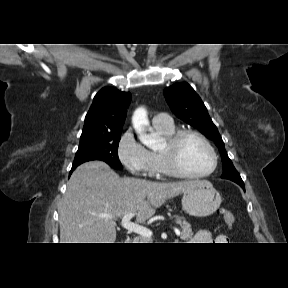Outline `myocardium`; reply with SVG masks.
Here are the masks:
<instances>
[{
	"instance_id": "myocardium-1",
	"label": "myocardium",
	"mask_w": 288,
	"mask_h": 288,
	"mask_svg": "<svg viewBox=\"0 0 288 288\" xmlns=\"http://www.w3.org/2000/svg\"><path fill=\"white\" fill-rule=\"evenodd\" d=\"M187 137H195L199 139L211 152L213 157V166L209 171L200 174H193L186 171L181 165L179 160V149L181 143ZM160 154L166 167L172 174L188 179H202L211 176L217 170L219 163L218 154L211 142L200 132L190 129L176 131L169 138L165 139L164 148L160 150Z\"/></svg>"
}]
</instances>
